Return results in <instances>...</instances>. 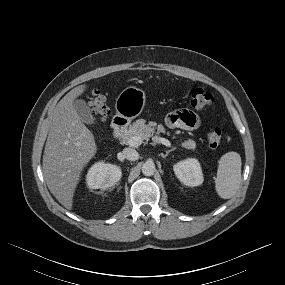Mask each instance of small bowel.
I'll return each mask as SVG.
<instances>
[{
  "label": "small bowel",
  "mask_w": 285,
  "mask_h": 285,
  "mask_svg": "<svg viewBox=\"0 0 285 285\" xmlns=\"http://www.w3.org/2000/svg\"><path fill=\"white\" fill-rule=\"evenodd\" d=\"M165 121L170 127L184 130H196L200 126V118L198 115L187 109H179L169 113Z\"/></svg>",
  "instance_id": "small-bowel-1"
}]
</instances>
